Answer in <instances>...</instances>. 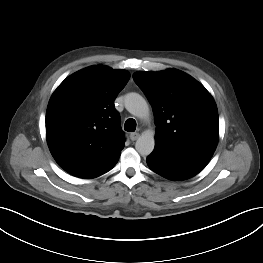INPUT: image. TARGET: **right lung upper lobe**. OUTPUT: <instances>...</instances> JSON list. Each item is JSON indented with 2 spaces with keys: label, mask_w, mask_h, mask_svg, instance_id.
<instances>
[{
  "label": "right lung upper lobe",
  "mask_w": 263,
  "mask_h": 263,
  "mask_svg": "<svg viewBox=\"0 0 263 263\" xmlns=\"http://www.w3.org/2000/svg\"><path fill=\"white\" fill-rule=\"evenodd\" d=\"M129 78L124 70L91 66L55 90L46 112V137L66 172L84 177L118 160L125 139L114 100Z\"/></svg>",
  "instance_id": "obj_1"
}]
</instances>
